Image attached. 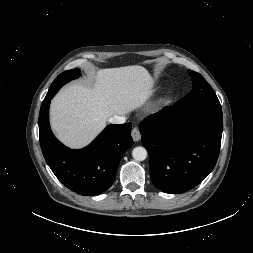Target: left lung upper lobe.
Listing matches in <instances>:
<instances>
[{"mask_svg":"<svg viewBox=\"0 0 253 253\" xmlns=\"http://www.w3.org/2000/svg\"><path fill=\"white\" fill-rule=\"evenodd\" d=\"M193 82V90L176 102L180 107L209 106L221 108L220 102L206 80L197 72L189 70Z\"/></svg>","mask_w":253,"mask_h":253,"instance_id":"obj_1","label":"left lung upper lobe"}]
</instances>
